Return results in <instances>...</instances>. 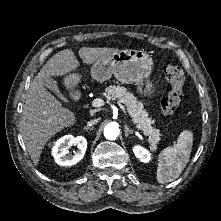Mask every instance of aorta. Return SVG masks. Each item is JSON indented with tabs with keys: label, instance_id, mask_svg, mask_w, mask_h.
Masks as SVG:
<instances>
[{
	"label": "aorta",
	"instance_id": "762f6f07",
	"mask_svg": "<svg viewBox=\"0 0 221 221\" xmlns=\"http://www.w3.org/2000/svg\"><path fill=\"white\" fill-rule=\"evenodd\" d=\"M119 135L118 125L109 123L104 127V136L108 140H115Z\"/></svg>",
	"mask_w": 221,
	"mask_h": 221
}]
</instances>
